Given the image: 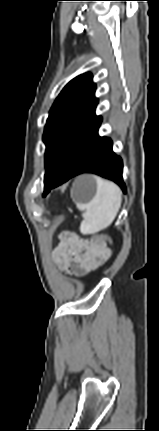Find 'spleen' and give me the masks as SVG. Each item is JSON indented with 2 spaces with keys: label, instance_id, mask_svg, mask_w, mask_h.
<instances>
[{
  "label": "spleen",
  "instance_id": "obj_1",
  "mask_svg": "<svg viewBox=\"0 0 159 431\" xmlns=\"http://www.w3.org/2000/svg\"><path fill=\"white\" fill-rule=\"evenodd\" d=\"M97 192L88 204L76 203L83 211L80 231L94 234L109 227L116 218L122 203V192L113 182L96 177Z\"/></svg>",
  "mask_w": 159,
  "mask_h": 431
}]
</instances>
